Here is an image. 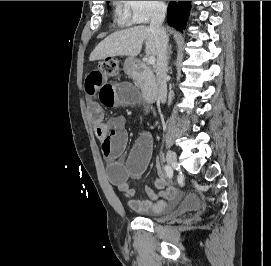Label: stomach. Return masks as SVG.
<instances>
[{
  "label": "stomach",
  "mask_w": 271,
  "mask_h": 266,
  "mask_svg": "<svg viewBox=\"0 0 271 266\" xmlns=\"http://www.w3.org/2000/svg\"><path fill=\"white\" fill-rule=\"evenodd\" d=\"M134 64H135V59L132 57L126 59L125 61V67L127 70H131Z\"/></svg>",
  "instance_id": "0dacf381"
}]
</instances>
